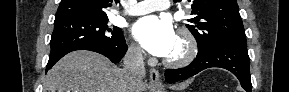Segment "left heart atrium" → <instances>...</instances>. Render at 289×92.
<instances>
[{"mask_svg":"<svg viewBox=\"0 0 289 92\" xmlns=\"http://www.w3.org/2000/svg\"><path fill=\"white\" fill-rule=\"evenodd\" d=\"M132 34L146 51L159 57H167L177 40L172 24L157 16L139 19L132 27Z\"/></svg>","mask_w":289,"mask_h":92,"instance_id":"1","label":"left heart atrium"}]
</instances>
